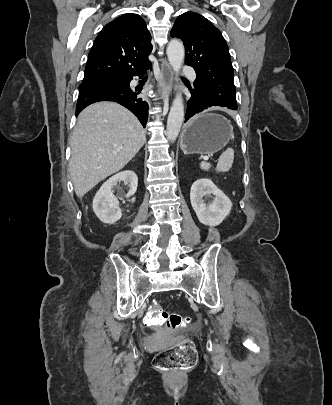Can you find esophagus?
Wrapping results in <instances>:
<instances>
[{"instance_id": "obj_1", "label": "esophagus", "mask_w": 332, "mask_h": 405, "mask_svg": "<svg viewBox=\"0 0 332 405\" xmlns=\"http://www.w3.org/2000/svg\"><path fill=\"white\" fill-rule=\"evenodd\" d=\"M161 75H162L163 83L166 87V90L168 93H170L172 90V84H173V72L167 62H164L162 65Z\"/></svg>"}]
</instances>
